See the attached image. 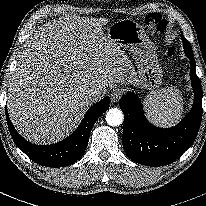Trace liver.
<instances>
[{
    "mask_svg": "<svg viewBox=\"0 0 206 206\" xmlns=\"http://www.w3.org/2000/svg\"><path fill=\"white\" fill-rule=\"evenodd\" d=\"M105 23L64 16L27 40L7 98L10 119L24 138L37 144L62 140L94 103L92 91L134 82L128 56L101 30Z\"/></svg>",
    "mask_w": 206,
    "mask_h": 206,
    "instance_id": "1",
    "label": "liver"
}]
</instances>
